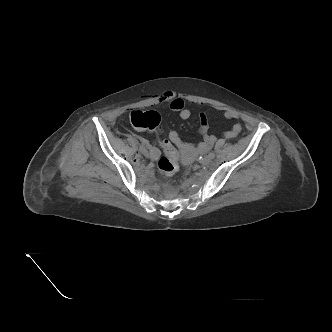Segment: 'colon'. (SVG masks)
I'll list each match as a JSON object with an SVG mask.
<instances>
[{
	"label": "colon",
	"instance_id": "obj_1",
	"mask_svg": "<svg viewBox=\"0 0 332 332\" xmlns=\"http://www.w3.org/2000/svg\"><path fill=\"white\" fill-rule=\"evenodd\" d=\"M130 123L136 129L157 131L160 125V115L156 111H133L130 115ZM164 155L159 158L157 168L161 174L171 176L179 169L178 153L169 140L160 142Z\"/></svg>",
	"mask_w": 332,
	"mask_h": 332
}]
</instances>
